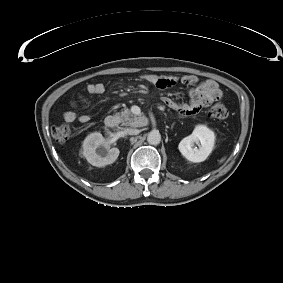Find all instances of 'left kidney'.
<instances>
[{
  "label": "left kidney",
  "instance_id": "left-kidney-1",
  "mask_svg": "<svg viewBox=\"0 0 283 283\" xmlns=\"http://www.w3.org/2000/svg\"><path fill=\"white\" fill-rule=\"evenodd\" d=\"M198 144L199 148L194 147ZM215 143V134L205 125H197L192 134L183 138L179 143V151L191 162H202L212 152Z\"/></svg>",
  "mask_w": 283,
  "mask_h": 283
}]
</instances>
